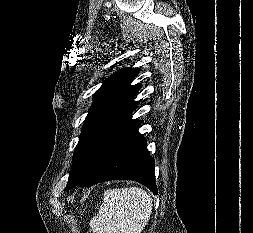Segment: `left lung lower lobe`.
<instances>
[{"mask_svg":"<svg viewBox=\"0 0 253 233\" xmlns=\"http://www.w3.org/2000/svg\"><path fill=\"white\" fill-rule=\"evenodd\" d=\"M131 115L132 111L114 130L87 175L65 190L108 180H136L157 194L154 159L149 155L145 138L138 132L140 121L131 120Z\"/></svg>","mask_w":253,"mask_h":233,"instance_id":"left-lung-lower-lobe-1","label":"left lung lower lobe"}]
</instances>
